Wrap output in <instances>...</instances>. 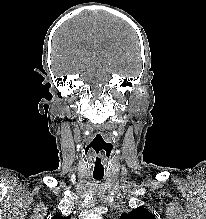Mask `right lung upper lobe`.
Listing matches in <instances>:
<instances>
[{
    "instance_id": "cb5924a9",
    "label": "right lung upper lobe",
    "mask_w": 206,
    "mask_h": 219,
    "mask_svg": "<svg viewBox=\"0 0 206 219\" xmlns=\"http://www.w3.org/2000/svg\"><path fill=\"white\" fill-rule=\"evenodd\" d=\"M52 219H70V216H68V217H63V216H59V215H54V216L52 217Z\"/></svg>"
}]
</instances>
